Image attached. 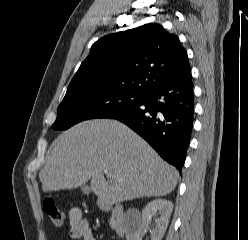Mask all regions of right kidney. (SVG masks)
Wrapping results in <instances>:
<instances>
[{
  "label": "right kidney",
  "instance_id": "right-kidney-1",
  "mask_svg": "<svg viewBox=\"0 0 248 240\" xmlns=\"http://www.w3.org/2000/svg\"><path fill=\"white\" fill-rule=\"evenodd\" d=\"M173 210V203L166 199H155L149 202L142 211L141 223L131 224L126 231L127 240H142V236L148 229L152 216H158L156 225L151 233V240H162L167 230L169 218Z\"/></svg>",
  "mask_w": 248,
  "mask_h": 240
}]
</instances>
